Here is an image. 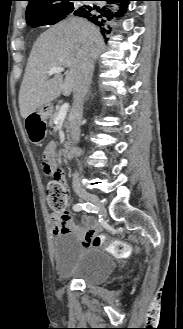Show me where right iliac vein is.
I'll return each mask as SVG.
<instances>
[{
    "mask_svg": "<svg viewBox=\"0 0 183 329\" xmlns=\"http://www.w3.org/2000/svg\"><path fill=\"white\" fill-rule=\"evenodd\" d=\"M77 195H78L81 199L93 203V204L97 207V209H99L103 214L106 213L105 208L102 206V204H101L100 201H99V198H98L96 195L91 194V193H89V192H87V191H85V190H79V191L77 192Z\"/></svg>",
    "mask_w": 183,
    "mask_h": 329,
    "instance_id": "1",
    "label": "right iliac vein"
}]
</instances>
